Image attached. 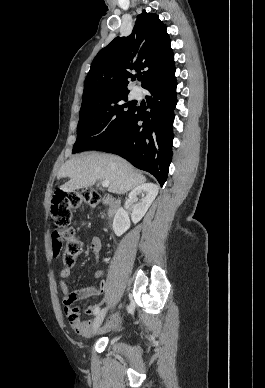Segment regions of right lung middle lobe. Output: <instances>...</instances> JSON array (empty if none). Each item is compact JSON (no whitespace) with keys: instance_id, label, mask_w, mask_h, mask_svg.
<instances>
[{"instance_id":"1","label":"right lung middle lobe","mask_w":265,"mask_h":388,"mask_svg":"<svg viewBox=\"0 0 265 388\" xmlns=\"http://www.w3.org/2000/svg\"><path fill=\"white\" fill-rule=\"evenodd\" d=\"M127 90H105L83 98L73 154L101 150L124 127L136 107L127 102Z\"/></svg>"}]
</instances>
